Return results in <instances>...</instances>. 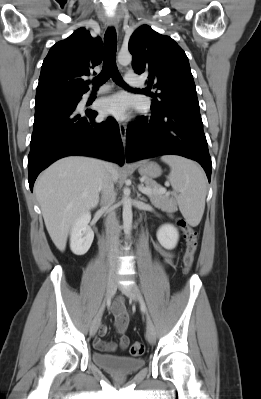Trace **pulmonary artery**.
<instances>
[{"label": "pulmonary artery", "instance_id": "1", "mask_svg": "<svg viewBox=\"0 0 261 399\" xmlns=\"http://www.w3.org/2000/svg\"><path fill=\"white\" fill-rule=\"evenodd\" d=\"M125 81L128 84H131V85H142V81H140L137 78V75L134 72H132V71H129V72L126 73ZM107 90H109V86L108 85H102L96 91L90 90L89 92H87L85 97H90L94 93H97V94L103 93V92H106Z\"/></svg>", "mask_w": 261, "mask_h": 399}]
</instances>
